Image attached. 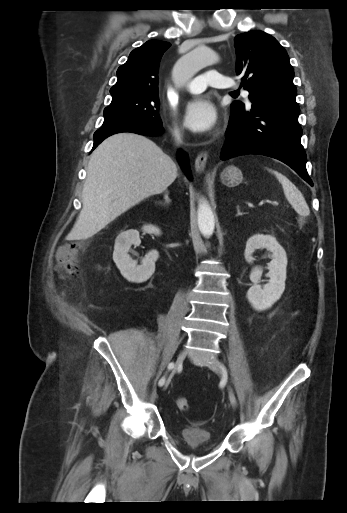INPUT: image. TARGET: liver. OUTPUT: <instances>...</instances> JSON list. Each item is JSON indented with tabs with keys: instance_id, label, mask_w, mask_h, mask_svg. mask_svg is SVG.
Returning a JSON list of instances; mask_svg holds the SVG:
<instances>
[{
	"instance_id": "obj_1",
	"label": "liver",
	"mask_w": 347,
	"mask_h": 513,
	"mask_svg": "<svg viewBox=\"0 0 347 513\" xmlns=\"http://www.w3.org/2000/svg\"><path fill=\"white\" fill-rule=\"evenodd\" d=\"M176 177L175 163L149 138L127 132L109 136L91 154L83 207L70 238L92 237L131 207L162 193Z\"/></svg>"
}]
</instances>
